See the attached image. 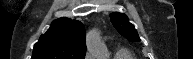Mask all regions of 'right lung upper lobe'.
<instances>
[{"label":"right lung upper lobe","mask_w":193,"mask_h":59,"mask_svg":"<svg viewBox=\"0 0 193 59\" xmlns=\"http://www.w3.org/2000/svg\"><path fill=\"white\" fill-rule=\"evenodd\" d=\"M85 27L80 21L60 18L34 45L32 59H84Z\"/></svg>","instance_id":"cb5924a9"}]
</instances>
